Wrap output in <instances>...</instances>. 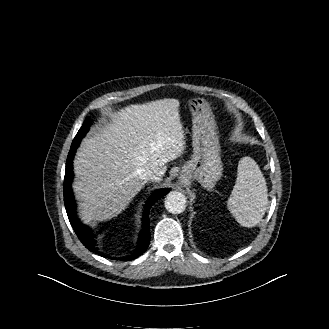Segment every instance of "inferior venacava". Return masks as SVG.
Segmentation results:
<instances>
[{"instance_id": "1", "label": "inferior vena cava", "mask_w": 329, "mask_h": 329, "mask_svg": "<svg viewBox=\"0 0 329 329\" xmlns=\"http://www.w3.org/2000/svg\"><path fill=\"white\" fill-rule=\"evenodd\" d=\"M140 178L144 182H148V181L157 182L160 180V174L157 170L146 169V170H143V172L140 174Z\"/></svg>"}]
</instances>
